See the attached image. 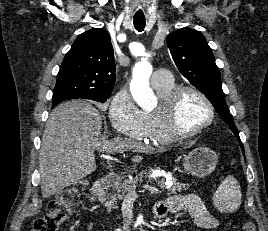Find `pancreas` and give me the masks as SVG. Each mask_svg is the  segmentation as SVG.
<instances>
[{"mask_svg":"<svg viewBox=\"0 0 268 231\" xmlns=\"http://www.w3.org/2000/svg\"><path fill=\"white\" fill-rule=\"evenodd\" d=\"M158 169V168H157ZM153 169L150 168L149 170H142L138 176L135 178L129 180L125 179L123 181H118L115 184L114 190L107 195V201L105 203V206L107 208V211L110 212L111 209L117 208V201L122 200L126 194L136 186L138 183H142L144 181V178L148 177L149 173L152 172ZM168 182V184L166 183ZM147 182H151L148 180ZM158 184L162 189H167L169 194H176L177 192H181L182 190H186L189 185L188 184H181L177 182V179L168 175L167 179H160L158 181ZM171 184V186H169Z\"/></svg>","mask_w":268,"mask_h":231,"instance_id":"obj_1","label":"pancreas"}]
</instances>
